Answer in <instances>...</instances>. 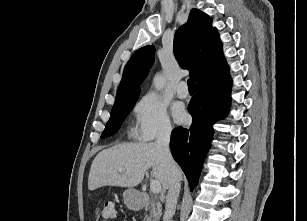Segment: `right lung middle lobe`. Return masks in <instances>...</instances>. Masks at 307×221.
Masks as SVG:
<instances>
[{
    "label": "right lung middle lobe",
    "mask_w": 307,
    "mask_h": 221,
    "mask_svg": "<svg viewBox=\"0 0 307 221\" xmlns=\"http://www.w3.org/2000/svg\"><path fill=\"white\" fill-rule=\"evenodd\" d=\"M139 95L115 102L111 111L110 119L106 124L101 138H106L113 135L120 124L124 121L125 117L133 108Z\"/></svg>",
    "instance_id": "right-lung-middle-lobe-1"
}]
</instances>
